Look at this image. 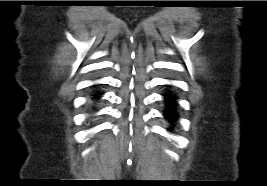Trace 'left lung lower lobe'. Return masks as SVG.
Segmentation results:
<instances>
[{
    "label": "left lung lower lobe",
    "instance_id": "1",
    "mask_svg": "<svg viewBox=\"0 0 267 186\" xmlns=\"http://www.w3.org/2000/svg\"><path fill=\"white\" fill-rule=\"evenodd\" d=\"M164 102H165V110H164V117L168 120V122L171 124V126L175 125V122L178 119V113H177V102L175 98L171 94H165L164 95Z\"/></svg>",
    "mask_w": 267,
    "mask_h": 186
}]
</instances>
